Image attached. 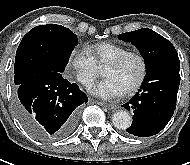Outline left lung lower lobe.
I'll return each mask as SVG.
<instances>
[{"mask_svg":"<svg viewBox=\"0 0 190 165\" xmlns=\"http://www.w3.org/2000/svg\"><path fill=\"white\" fill-rule=\"evenodd\" d=\"M180 61L164 62L147 71L139 92L122 105L133 110V122L126 129L138 137L160 132L170 121L176 108L180 83Z\"/></svg>","mask_w":190,"mask_h":165,"instance_id":"left-lung-lower-lobe-1","label":"left lung lower lobe"}]
</instances>
